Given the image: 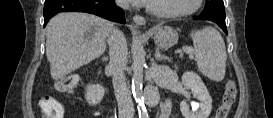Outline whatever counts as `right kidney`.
I'll return each mask as SVG.
<instances>
[{"label": "right kidney", "mask_w": 273, "mask_h": 118, "mask_svg": "<svg viewBox=\"0 0 273 118\" xmlns=\"http://www.w3.org/2000/svg\"><path fill=\"white\" fill-rule=\"evenodd\" d=\"M104 96V89L100 85H88L86 87L85 98L89 105L98 104Z\"/></svg>", "instance_id": "1"}]
</instances>
